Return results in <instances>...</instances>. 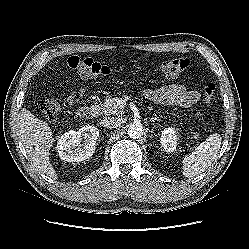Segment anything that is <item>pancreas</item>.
Returning a JSON list of instances; mask_svg holds the SVG:
<instances>
[{
    "instance_id": "obj_1",
    "label": "pancreas",
    "mask_w": 249,
    "mask_h": 249,
    "mask_svg": "<svg viewBox=\"0 0 249 249\" xmlns=\"http://www.w3.org/2000/svg\"><path fill=\"white\" fill-rule=\"evenodd\" d=\"M98 110L105 116L119 115L122 113L121 99L117 97H107L104 102L98 107ZM193 138H197V133H195V136Z\"/></svg>"
}]
</instances>
